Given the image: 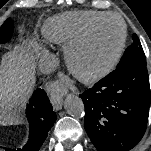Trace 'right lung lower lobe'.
Wrapping results in <instances>:
<instances>
[{
  "label": "right lung lower lobe",
  "instance_id": "1",
  "mask_svg": "<svg viewBox=\"0 0 151 151\" xmlns=\"http://www.w3.org/2000/svg\"><path fill=\"white\" fill-rule=\"evenodd\" d=\"M26 116L30 127L29 141L23 149L4 148L6 151H39L57 117L44 90L37 89L33 93Z\"/></svg>",
  "mask_w": 151,
  "mask_h": 151
}]
</instances>
